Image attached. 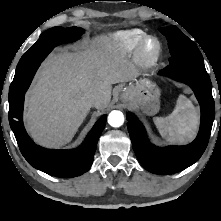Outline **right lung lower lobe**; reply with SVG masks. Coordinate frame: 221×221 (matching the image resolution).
<instances>
[{"label":"right lung lower lobe","instance_id":"98d812e1","mask_svg":"<svg viewBox=\"0 0 221 221\" xmlns=\"http://www.w3.org/2000/svg\"><path fill=\"white\" fill-rule=\"evenodd\" d=\"M24 94L25 92L9 101V123L20 151L28 163L49 175L62 178L76 177L88 171L93 162L97 141L105 127L107 115H103L96 122L85 141L77 149H45L34 144L24 129Z\"/></svg>","mask_w":221,"mask_h":221}]
</instances>
